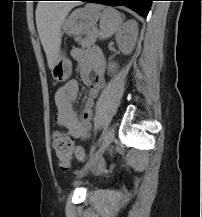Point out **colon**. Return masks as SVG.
I'll return each instance as SVG.
<instances>
[{"label":"colon","instance_id":"5ec220e1","mask_svg":"<svg viewBox=\"0 0 202 217\" xmlns=\"http://www.w3.org/2000/svg\"><path fill=\"white\" fill-rule=\"evenodd\" d=\"M54 154L62 169H67L74 156L79 161L85 160V152L81 146H74L71 138L64 132H55L52 139Z\"/></svg>","mask_w":202,"mask_h":217}]
</instances>
